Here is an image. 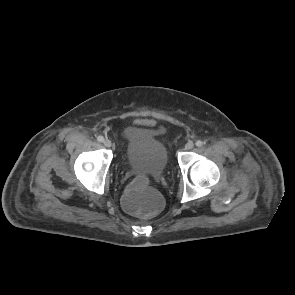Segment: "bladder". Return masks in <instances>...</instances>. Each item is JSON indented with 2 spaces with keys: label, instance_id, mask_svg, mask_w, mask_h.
I'll list each match as a JSON object with an SVG mask.
<instances>
[{
  "label": "bladder",
  "instance_id": "bladder-1",
  "mask_svg": "<svg viewBox=\"0 0 295 295\" xmlns=\"http://www.w3.org/2000/svg\"><path fill=\"white\" fill-rule=\"evenodd\" d=\"M165 134V127L159 123L128 125L123 131L126 161L151 170L164 169L169 159Z\"/></svg>",
  "mask_w": 295,
  "mask_h": 295
}]
</instances>
